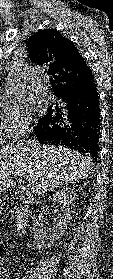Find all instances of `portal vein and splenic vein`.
<instances>
[{"instance_id":"portal-vein-and-splenic-vein-1","label":"portal vein and splenic vein","mask_w":113,"mask_h":279,"mask_svg":"<svg viewBox=\"0 0 113 279\" xmlns=\"http://www.w3.org/2000/svg\"><path fill=\"white\" fill-rule=\"evenodd\" d=\"M14 174V172H12V175ZM19 182H21V181H19ZM21 188L22 189H26V188H29V184H26L25 182H23L22 184H21Z\"/></svg>"}]
</instances>
